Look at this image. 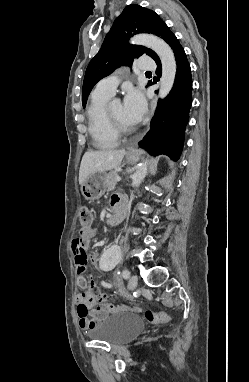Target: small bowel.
Here are the masks:
<instances>
[{
  "label": "small bowel",
  "instance_id": "obj_1",
  "mask_svg": "<svg viewBox=\"0 0 249 382\" xmlns=\"http://www.w3.org/2000/svg\"><path fill=\"white\" fill-rule=\"evenodd\" d=\"M120 199V196L114 195L111 199V203L114 205ZM94 234L95 232L92 228H81L78 237L72 242V248H86V245H88V242ZM88 257L89 260L92 261L101 260V256L97 255L95 252H90ZM90 284L91 282H88L87 279L84 282H77L78 287L85 290L76 297L79 326L83 330H90L96 327L110 313L109 309L96 301L90 290ZM103 284L109 286L106 282H103Z\"/></svg>",
  "mask_w": 249,
  "mask_h": 382
}]
</instances>
